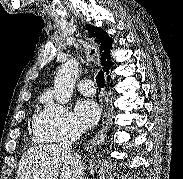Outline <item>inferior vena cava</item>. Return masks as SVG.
<instances>
[{"label":"inferior vena cava","instance_id":"1","mask_svg":"<svg viewBox=\"0 0 183 179\" xmlns=\"http://www.w3.org/2000/svg\"><path fill=\"white\" fill-rule=\"evenodd\" d=\"M81 134V129H71L65 137L64 141L59 145L62 149L72 153L74 156L75 169L73 179H85L84 163L82 162L81 157L72 151V145L78 138H80Z\"/></svg>","mask_w":183,"mask_h":179}]
</instances>
